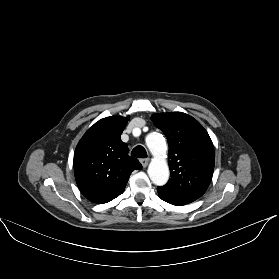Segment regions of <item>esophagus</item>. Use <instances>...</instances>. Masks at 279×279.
<instances>
[{
    "instance_id": "obj_1",
    "label": "esophagus",
    "mask_w": 279,
    "mask_h": 279,
    "mask_svg": "<svg viewBox=\"0 0 279 279\" xmlns=\"http://www.w3.org/2000/svg\"><path fill=\"white\" fill-rule=\"evenodd\" d=\"M149 161H150L149 158H145V159H141V160H140V162H141V164H142V166H143L144 168L147 167Z\"/></svg>"
}]
</instances>
